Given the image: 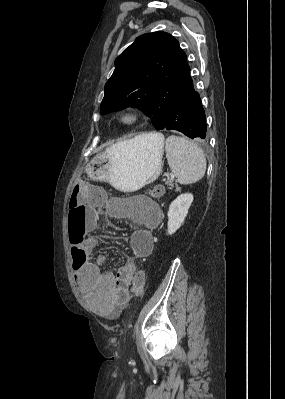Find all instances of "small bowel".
I'll return each instance as SVG.
<instances>
[{"mask_svg":"<svg viewBox=\"0 0 285 399\" xmlns=\"http://www.w3.org/2000/svg\"><path fill=\"white\" fill-rule=\"evenodd\" d=\"M76 198L79 202L78 207L86 201V197L82 194ZM119 208L118 204L113 203L96 206L97 218L130 216L129 213L119 212ZM137 211L139 215L133 219L142 224V227L136 228L130 235V255L115 271L104 268L108 255L105 252L94 251L96 238L87 233L86 223L83 221L73 223L68 220L69 234L74 235L77 240L71 248L72 261L76 257H84L82 266L75 272V282L86 302L103 318H117L132 296L141 297L143 294V292L135 293L132 288L136 260L151 253L154 247L152 233L157 228L161 213L139 205Z\"/></svg>","mask_w":285,"mask_h":399,"instance_id":"c3829d8e","label":"small bowel"}]
</instances>
